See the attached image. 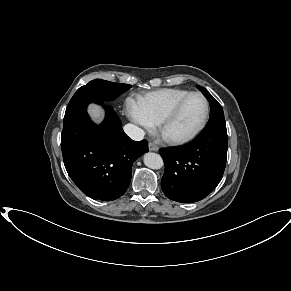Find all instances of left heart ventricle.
I'll return each instance as SVG.
<instances>
[{
	"mask_svg": "<svg viewBox=\"0 0 291 291\" xmlns=\"http://www.w3.org/2000/svg\"><path fill=\"white\" fill-rule=\"evenodd\" d=\"M205 110L201 97L193 96L183 106L177 118L168 126L166 134L171 137L183 136L193 131L200 123Z\"/></svg>",
	"mask_w": 291,
	"mask_h": 291,
	"instance_id": "b2bd125f",
	"label": "left heart ventricle"
}]
</instances>
